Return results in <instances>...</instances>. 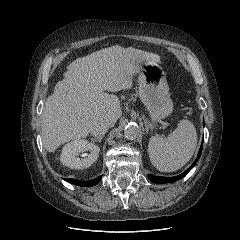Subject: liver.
I'll list each match as a JSON object with an SVG mask.
<instances>
[{
    "mask_svg": "<svg viewBox=\"0 0 240 240\" xmlns=\"http://www.w3.org/2000/svg\"><path fill=\"white\" fill-rule=\"evenodd\" d=\"M159 56L119 45L74 60L55 86L42 113V142L49 152L70 140L85 138L101 121L113 126L121 116L119 98L105 91L131 89L140 64Z\"/></svg>",
    "mask_w": 240,
    "mask_h": 240,
    "instance_id": "1",
    "label": "liver"
}]
</instances>
